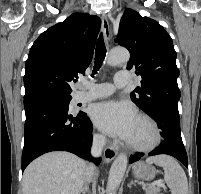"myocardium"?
<instances>
[{
  "mask_svg": "<svg viewBox=\"0 0 201 194\" xmlns=\"http://www.w3.org/2000/svg\"><path fill=\"white\" fill-rule=\"evenodd\" d=\"M140 121L144 122L145 124L148 125V127L151 130L152 133V138L148 143L145 144H138V143H133V142H128L127 145L128 147L137 152H148L156 148L160 141H161V131L154 119H152L150 116L145 115V114H140L137 117Z\"/></svg>",
  "mask_w": 201,
  "mask_h": 194,
  "instance_id": "f54148a6",
  "label": "myocardium"
}]
</instances>
